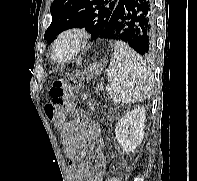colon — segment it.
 <instances>
[{
  "label": "colon",
  "mask_w": 197,
  "mask_h": 181,
  "mask_svg": "<svg viewBox=\"0 0 197 181\" xmlns=\"http://www.w3.org/2000/svg\"><path fill=\"white\" fill-rule=\"evenodd\" d=\"M49 97L50 101L44 106L45 115L57 127H62L73 109V88L63 80H56L49 89ZM108 181H120V179L111 176Z\"/></svg>",
  "instance_id": "obj_1"
}]
</instances>
